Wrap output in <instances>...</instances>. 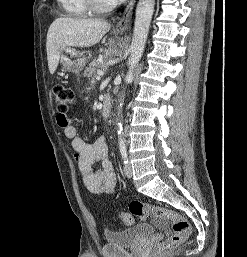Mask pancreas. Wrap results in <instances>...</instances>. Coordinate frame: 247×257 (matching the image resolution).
Here are the masks:
<instances>
[{
    "label": "pancreas",
    "instance_id": "obj_1",
    "mask_svg": "<svg viewBox=\"0 0 247 257\" xmlns=\"http://www.w3.org/2000/svg\"><path fill=\"white\" fill-rule=\"evenodd\" d=\"M105 67L106 66L103 59L102 61L94 60L88 65V67L85 68L83 76L86 78H90L97 68H105Z\"/></svg>",
    "mask_w": 247,
    "mask_h": 257
}]
</instances>
